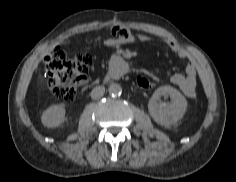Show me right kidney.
<instances>
[{"instance_id": "obj_1", "label": "right kidney", "mask_w": 236, "mask_h": 182, "mask_svg": "<svg viewBox=\"0 0 236 182\" xmlns=\"http://www.w3.org/2000/svg\"><path fill=\"white\" fill-rule=\"evenodd\" d=\"M65 120V108L62 105H52L47 108L42 116V124L48 128L58 127Z\"/></svg>"}]
</instances>
